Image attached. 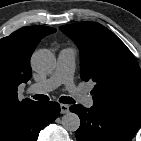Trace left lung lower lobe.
Listing matches in <instances>:
<instances>
[{
    "mask_svg": "<svg viewBox=\"0 0 141 141\" xmlns=\"http://www.w3.org/2000/svg\"><path fill=\"white\" fill-rule=\"evenodd\" d=\"M70 111L81 120L76 131L77 141H131L141 123L96 106L87 109L82 105H72Z\"/></svg>",
    "mask_w": 141,
    "mask_h": 141,
    "instance_id": "1",
    "label": "left lung lower lobe"
}]
</instances>
